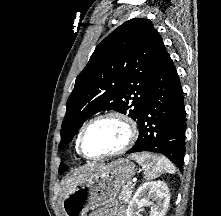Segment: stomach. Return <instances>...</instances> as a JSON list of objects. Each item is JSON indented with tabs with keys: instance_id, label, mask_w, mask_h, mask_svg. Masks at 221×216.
<instances>
[{
	"instance_id": "obj_1",
	"label": "stomach",
	"mask_w": 221,
	"mask_h": 216,
	"mask_svg": "<svg viewBox=\"0 0 221 216\" xmlns=\"http://www.w3.org/2000/svg\"><path fill=\"white\" fill-rule=\"evenodd\" d=\"M135 173L128 159L100 165L67 192L62 202L65 216H86L89 210L110 203Z\"/></svg>"
}]
</instances>
